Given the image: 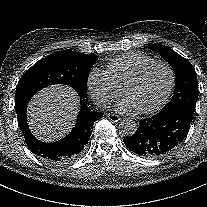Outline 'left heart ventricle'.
Returning a JSON list of instances; mask_svg holds the SVG:
<instances>
[{"label": "left heart ventricle", "mask_w": 207, "mask_h": 207, "mask_svg": "<svg viewBox=\"0 0 207 207\" xmlns=\"http://www.w3.org/2000/svg\"><path fill=\"white\" fill-rule=\"evenodd\" d=\"M170 83V75L161 65L151 67L136 84L129 87L126 99L137 112L156 108L163 100Z\"/></svg>", "instance_id": "1"}]
</instances>
